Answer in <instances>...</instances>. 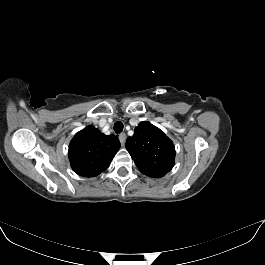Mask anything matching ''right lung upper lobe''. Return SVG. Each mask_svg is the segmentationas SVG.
Listing matches in <instances>:
<instances>
[{
    "instance_id": "cb5924a9",
    "label": "right lung upper lobe",
    "mask_w": 265,
    "mask_h": 265,
    "mask_svg": "<svg viewBox=\"0 0 265 265\" xmlns=\"http://www.w3.org/2000/svg\"><path fill=\"white\" fill-rule=\"evenodd\" d=\"M120 148L119 139L94 126L79 131L69 144L68 157L75 173L94 177L105 171Z\"/></svg>"
}]
</instances>
